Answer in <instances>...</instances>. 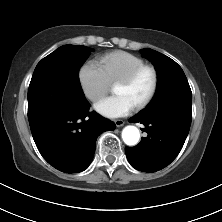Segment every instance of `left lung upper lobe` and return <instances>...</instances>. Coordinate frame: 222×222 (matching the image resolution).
I'll return each instance as SVG.
<instances>
[{"label":"left lung upper lobe","instance_id":"5c2ea615","mask_svg":"<svg viewBox=\"0 0 222 222\" xmlns=\"http://www.w3.org/2000/svg\"><path fill=\"white\" fill-rule=\"evenodd\" d=\"M142 55L153 63L158 75L156 94L144 110L167 101L192 104V93L187 78L174 60L149 48L142 49Z\"/></svg>","mask_w":222,"mask_h":222}]
</instances>
